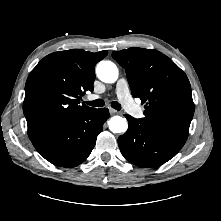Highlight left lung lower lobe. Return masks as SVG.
<instances>
[{
  "label": "left lung lower lobe",
  "mask_w": 221,
  "mask_h": 221,
  "mask_svg": "<svg viewBox=\"0 0 221 221\" xmlns=\"http://www.w3.org/2000/svg\"><path fill=\"white\" fill-rule=\"evenodd\" d=\"M129 127L118 138L122 155L139 167H156L174 157L185 144L168 135L157 132L141 119L125 114Z\"/></svg>",
  "instance_id": "1"
}]
</instances>
